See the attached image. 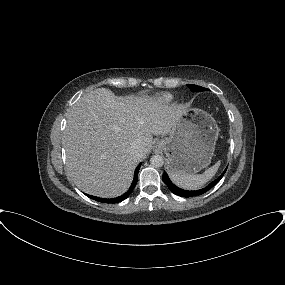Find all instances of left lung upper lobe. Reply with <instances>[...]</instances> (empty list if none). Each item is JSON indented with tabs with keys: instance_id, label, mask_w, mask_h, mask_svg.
Segmentation results:
<instances>
[{
	"instance_id": "left-lung-upper-lobe-1",
	"label": "left lung upper lobe",
	"mask_w": 285,
	"mask_h": 285,
	"mask_svg": "<svg viewBox=\"0 0 285 285\" xmlns=\"http://www.w3.org/2000/svg\"><path fill=\"white\" fill-rule=\"evenodd\" d=\"M188 88L193 91V92H200V91H206L208 89L198 86V85H193V84H187Z\"/></svg>"
}]
</instances>
